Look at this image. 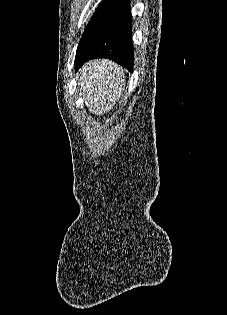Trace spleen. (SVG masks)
<instances>
[{
  "label": "spleen",
  "mask_w": 227,
  "mask_h": 315,
  "mask_svg": "<svg viewBox=\"0 0 227 315\" xmlns=\"http://www.w3.org/2000/svg\"><path fill=\"white\" fill-rule=\"evenodd\" d=\"M122 69L110 61H94L83 68L81 87L89 110L103 114L118 101L125 86Z\"/></svg>",
  "instance_id": "spleen-1"
}]
</instances>
